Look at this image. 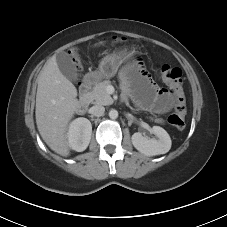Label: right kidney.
<instances>
[{
    "mask_svg": "<svg viewBox=\"0 0 227 227\" xmlns=\"http://www.w3.org/2000/svg\"><path fill=\"white\" fill-rule=\"evenodd\" d=\"M92 125L87 118H77L73 120L67 132L69 147L77 152L84 151L91 139Z\"/></svg>",
    "mask_w": 227,
    "mask_h": 227,
    "instance_id": "ca27d5eb",
    "label": "right kidney"
}]
</instances>
